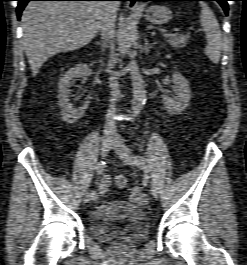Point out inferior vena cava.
Returning a JSON list of instances; mask_svg holds the SVG:
<instances>
[{
    "label": "inferior vena cava",
    "instance_id": "1",
    "mask_svg": "<svg viewBox=\"0 0 247 265\" xmlns=\"http://www.w3.org/2000/svg\"><path fill=\"white\" fill-rule=\"evenodd\" d=\"M103 11L101 13L100 22H99V31L103 37V42L106 44V47H110L111 57L108 63V67L111 69L116 63L115 53H114V41L112 37L111 23L112 18L114 17L115 12L118 9V2L115 1H104L102 2ZM109 85L111 88V98L110 106L106 115V122L104 126V132L106 134H115L116 124L113 120V116L116 112V102L120 98L119 82L115 75H112L109 78Z\"/></svg>",
    "mask_w": 247,
    "mask_h": 265
}]
</instances>
